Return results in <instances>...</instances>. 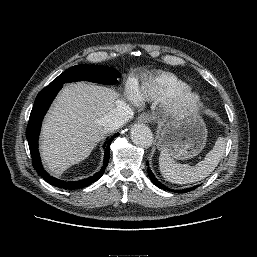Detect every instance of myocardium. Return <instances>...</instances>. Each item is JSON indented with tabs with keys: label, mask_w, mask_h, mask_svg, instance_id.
I'll list each match as a JSON object with an SVG mask.
<instances>
[{
	"label": "myocardium",
	"mask_w": 257,
	"mask_h": 257,
	"mask_svg": "<svg viewBox=\"0 0 257 257\" xmlns=\"http://www.w3.org/2000/svg\"><path fill=\"white\" fill-rule=\"evenodd\" d=\"M171 113L187 116L195 113L201 105V94L190 87L174 93L169 99Z\"/></svg>",
	"instance_id": "obj_1"
}]
</instances>
